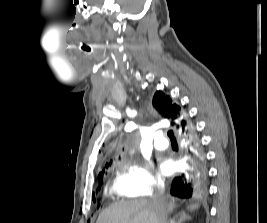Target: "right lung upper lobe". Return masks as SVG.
Masks as SVG:
<instances>
[{"instance_id": "cb5924a9", "label": "right lung upper lobe", "mask_w": 267, "mask_h": 223, "mask_svg": "<svg viewBox=\"0 0 267 223\" xmlns=\"http://www.w3.org/2000/svg\"><path fill=\"white\" fill-rule=\"evenodd\" d=\"M153 106L161 114V116L168 119L171 126H173L181 134L188 125L192 126L186 111L173 102L169 95H166L161 91H157L153 97ZM101 176L102 173L99 174V178Z\"/></svg>"}]
</instances>
